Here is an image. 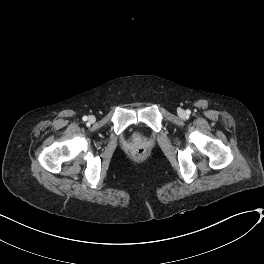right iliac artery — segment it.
Wrapping results in <instances>:
<instances>
[{"mask_svg": "<svg viewBox=\"0 0 264 264\" xmlns=\"http://www.w3.org/2000/svg\"><path fill=\"white\" fill-rule=\"evenodd\" d=\"M82 119H83V121H87L88 118H87V116H83Z\"/></svg>", "mask_w": 264, "mask_h": 264, "instance_id": "82829eb1", "label": "right iliac artery"}]
</instances>
